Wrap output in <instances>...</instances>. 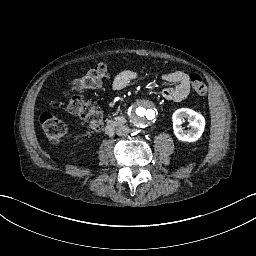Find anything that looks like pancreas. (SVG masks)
I'll list each match as a JSON object with an SVG mask.
<instances>
[{"label": "pancreas", "mask_w": 256, "mask_h": 256, "mask_svg": "<svg viewBox=\"0 0 256 256\" xmlns=\"http://www.w3.org/2000/svg\"><path fill=\"white\" fill-rule=\"evenodd\" d=\"M107 122H108V123H113L114 125H116V124H118V123H125L126 120H125L124 117L121 116V117H117L115 122H111V121H109V120H107Z\"/></svg>", "instance_id": "obj_1"}]
</instances>
